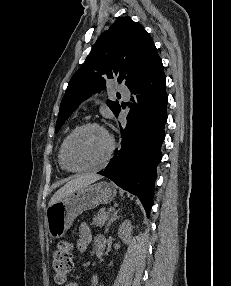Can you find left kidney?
I'll use <instances>...</instances> for the list:
<instances>
[{"label":"left kidney","mask_w":231,"mask_h":286,"mask_svg":"<svg viewBox=\"0 0 231 286\" xmlns=\"http://www.w3.org/2000/svg\"><path fill=\"white\" fill-rule=\"evenodd\" d=\"M132 225L129 220H125L118 229V236L121 238L125 243L129 241L132 234Z\"/></svg>","instance_id":"5707ae66"}]
</instances>
